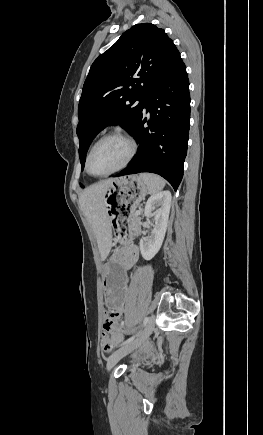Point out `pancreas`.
Returning <instances> with one entry per match:
<instances>
[{"instance_id":"obj_1","label":"pancreas","mask_w":263,"mask_h":435,"mask_svg":"<svg viewBox=\"0 0 263 435\" xmlns=\"http://www.w3.org/2000/svg\"><path fill=\"white\" fill-rule=\"evenodd\" d=\"M142 213V211H140V214ZM134 210L130 213L129 218H128V223H129V229L133 230L135 232L139 231V224H140V217Z\"/></svg>"}]
</instances>
